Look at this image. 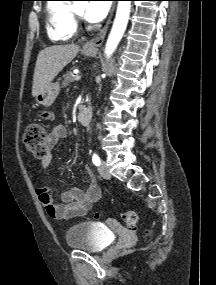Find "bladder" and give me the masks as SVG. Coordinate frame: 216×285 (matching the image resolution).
<instances>
[{
    "label": "bladder",
    "instance_id": "obj_1",
    "mask_svg": "<svg viewBox=\"0 0 216 285\" xmlns=\"http://www.w3.org/2000/svg\"><path fill=\"white\" fill-rule=\"evenodd\" d=\"M66 242L71 248L98 253L113 242V234L101 224L80 222L66 231Z\"/></svg>",
    "mask_w": 216,
    "mask_h": 285
}]
</instances>
